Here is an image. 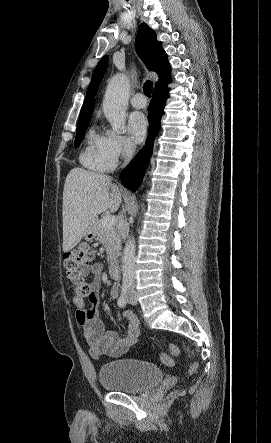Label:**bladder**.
Segmentation results:
<instances>
[{
    "mask_svg": "<svg viewBox=\"0 0 271 443\" xmlns=\"http://www.w3.org/2000/svg\"><path fill=\"white\" fill-rule=\"evenodd\" d=\"M161 369L149 362L123 358L103 364L99 369L101 385L115 392L134 393L158 385Z\"/></svg>",
    "mask_w": 271,
    "mask_h": 443,
    "instance_id": "31cf9c89",
    "label": "bladder"
}]
</instances>
